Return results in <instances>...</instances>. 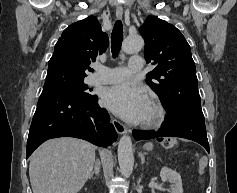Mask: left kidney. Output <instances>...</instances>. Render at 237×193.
Returning a JSON list of instances; mask_svg holds the SVG:
<instances>
[{
	"instance_id": "1",
	"label": "left kidney",
	"mask_w": 237,
	"mask_h": 193,
	"mask_svg": "<svg viewBox=\"0 0 237 193\" xmlns=\"http://www.w3.org/2000/svg\"><path fill=\"white\" fill-rule=\"evenodd\" d=\"M160 177L163 182L168 181L172 183L170 193H183L181 176L176 171L163 167Z\"/></svg>"
}]
</instances>
